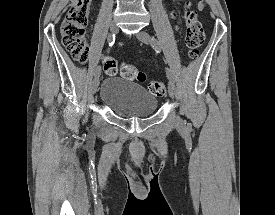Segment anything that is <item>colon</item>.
Returning a JSON list of instances; mask_svg holds the SVG:
<instances>
[{"label": "colon", "mask_w": 275, "mask_h": 215, "mask_svg": "<svg viewBox=\"0 0 275 215\" xmlns=\"http://www.w3.org/2000/svg\"><path fill=\"white\" fill-rule=\"evenodd\" d=\"M92 0H76L68 9L66 17L61 24L62 42L72 58L79 63H86L88 58V45L86 42V26L88 23V12ZM187 6H189L187 4ZM186 24L185 46L188 56L196 59L199 48L204 42L205 33L202 23L197 19L196 13L187 7L184 13ZM102 68L105 74L113 76L118 72V62L113 58H105L102 61ZM121 74L128 80H136L144 83L147 80L146 74L131 64L121 66ZM149 92L161 97L166 94L167 88L162 81L152 80L148 82Z\"/></svg>", "instance_id": "1"}]
</instances>
